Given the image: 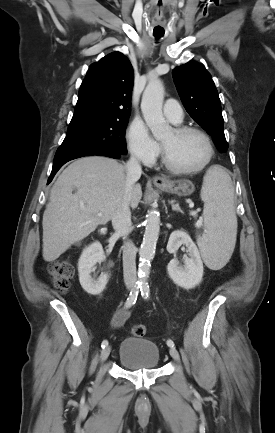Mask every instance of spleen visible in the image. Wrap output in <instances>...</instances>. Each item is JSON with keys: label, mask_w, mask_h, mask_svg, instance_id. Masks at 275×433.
Wrapping results in <instances>:
<instances>
[{"label": "spleen", "mask_w": 275, "mask_h": 433, "mask_svg": "<svg viewBox=\"0 0 275 433\" xmlns=\"http://www.w3.org/2000/svg\"><path fill=\"white\" fill-rule=\"evenodd\" d=\"M200 196L204 202L205 231L198 237L197 244L205 264L218 270L229 261L237 235L234 187L224 168L215 165L208 169Z\"/></svg>", "instance_id": "3e777b00"}]
</instances>
